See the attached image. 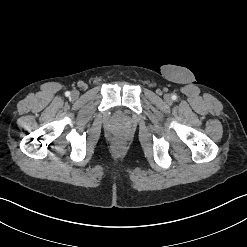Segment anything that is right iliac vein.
<instances>
[{
    "label": "right iliac vein",
    "instance_id": "1",
    "mask_svg": "<svg viewBox=\"0 0 247 247\" xmlns=\"http://www.w3.org/2000/svg\"><path fill=\"white\" fill-rule=\"evenodd\" d=\"M72 98L76 99L79 96V92L77 90L72 91L71 93Z\"/></svg>",
    "mask_w": 247,
    "mask_h": 247
}]
</instances>
